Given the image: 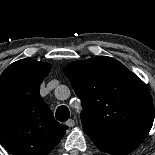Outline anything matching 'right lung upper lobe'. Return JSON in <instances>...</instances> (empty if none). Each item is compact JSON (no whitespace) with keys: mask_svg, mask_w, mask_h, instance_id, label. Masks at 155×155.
<instances>
[{"mask_svg":"<svg viewBox=\"0 0 155 155\" xmlns=\"http://www.w3.org/2000/svg\"><path fill=\"white\" fill-rule=\"evenodd\" d=\"M51 65L31 58L0 76V143L13 155H47L65 134L41 98L39 86Z\"/></svg>","mask_w":155,"mask_h":155,"instance_id":"cb5924a9","label":"right lung upper lobe"}]
</instances>
